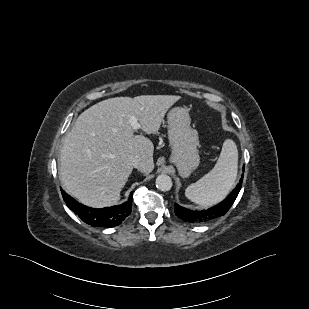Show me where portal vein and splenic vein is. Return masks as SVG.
<instances>
[{
	"instance_id": "1",
	"label": "portal vein and splenic vein",
	"mask_w": 309,
	"mask_h": 309,
	"mask_svg": "<svg viewBox=\"0 0 309 309\" xmlns=\"http://www.w3.org/2000/svg\"><path fill=\"white\" fill-rule=\"evenodd\" d=\"M130 124H131V126H132V128H133L134 130H138L139 128H141L140 123L138 122V120H137L136 117H134V116H132V117L130 118Z\"/></svg>"
}]
</instances>
